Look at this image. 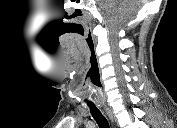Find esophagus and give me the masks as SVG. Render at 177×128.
I'll use <instances>...</instances> for the list:
<instances>
[{
  "instance_id": "1",
  "label": "esophagus",
  "mask_w": 177,
  "mask_h": 128,
  "mask_svg": "<svg viewBox=\"0 0 177 128\" xmlns=\"http://www.w3.org/2000/svg\"><path fill=\"white\" fill-rule=\"evenodd\" d=\"M106 111H107L109 117L112 118V115H111L110 111L107 108H106Z\"/></svg>"
}]
</instances>
